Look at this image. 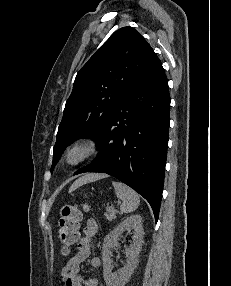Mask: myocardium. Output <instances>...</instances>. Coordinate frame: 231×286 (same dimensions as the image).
<instances>
[{
    "instance_id": "myocardium-1",
    "label": "myocardium",
    "mask_w": 231,
    "mask_h": 286,
    "mask_svg": "<svg viewBox=\"0 0 231 286\" xmlns=\"http://www.w3.org/2000/svg\"><path fill=\"white\" fill-rule=\"evenodd\" d=\"M99 152L98 141L92 136H85L73 141L63 154V162L69 167H77Z\"/></svg>"
}]
</instances>
